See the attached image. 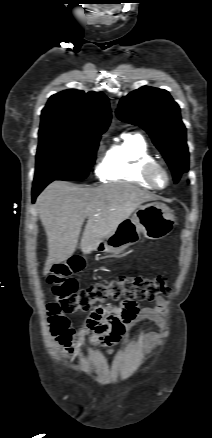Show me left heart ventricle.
Segmentation results:
<instances>
[{
  "label": "left heart ventricle",
  "mask_w": 212,
  "mask_h": 438,
  "mask_svg": "<svg viewBox=\"0 0 212 438\" xmlns=\"http://www.w3.org/2000/svg\"><path fill=\"white\" fill-rule=\"evenodd\" d=\"M153 178L156 185L160 187L164 186L167 182V177L161 169H158L154 172Z\"/></svg>",
  "instance_id": "b2bd125f"
}]
</instances>
